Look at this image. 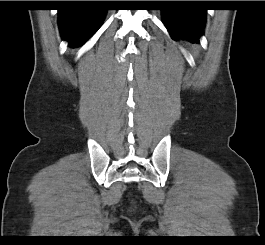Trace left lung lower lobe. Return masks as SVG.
I'll return each instance as SVG.
<instances>
[{
    "instance_id": "obj_1",
    "label": "left lung lower lobe",
    "mask_w": 265,
    "mask_h": 245,
    "mask_svg": "<svg viewBox=\"0 0 265 245\" xmlns=\"http://www.w3.org/2000/svg\"><path fill=\"white\" fill-rule=\"evenodd\" d=\"M164 25L174 40L187 38L199 42L206 21L204 9L171 8L162 10Z\"/></svg>"
}]
</instances>
